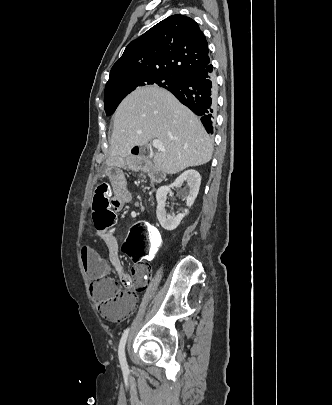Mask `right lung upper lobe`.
<instances>
[{"instance_id": "1", "label": "right lung upper lobe", "mask_w": 332, "mask_h": 405, "mask_svg": "<svg viewBox=\"0 0 332 405\" xmlns=\"http://www.w3.org/2000/svg\"><path fill=\"white\" fill-rule=\"evenodd\" d=\"M207 40L191 18L175 14L159 22L126 47L110 71V83L128 74L183 77L210 63Z\"/></svg>"}]
</instances>
